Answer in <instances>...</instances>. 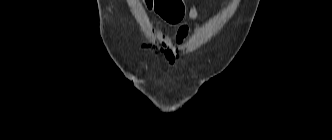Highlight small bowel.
<instances>
[{"mask_svg": "<svg viewBox=\"0 0 332 140\" xmlns=\"http://www.w3.org/2000/svg\"><path fill=\"white\" fill-rule=\"evenodd\" d=\"M183 17L176 22H169V23L178 24L182 21ZM188 17L192 23V27L196 30H199L197 0L192 1L188 11ZM190 29H191L190 25L183 23L179 25L175 37L173 39L169 37L163 38L162 52L164 53L166 60L170 64H175L178 61L179 49L183 44L185 38L188 36Z\"/></svg>", "mask_w": 332, "mask_h": 140, "instance_id": "1", "label": "small bowel"}]
</instances>
